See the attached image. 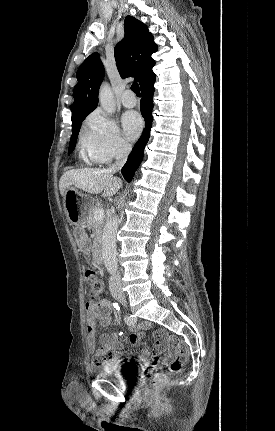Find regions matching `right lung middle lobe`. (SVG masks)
Listing matches in <instances>:
<instances>
[{
    "mask_svg": "<svg viewBox=\"0 0 275 431\" xmlns=\"http://www.w3.org/2000/svg\"><path fill=\"white\" fill-rule=\"evenodd\" d=\"M80 126H81V123H79V124H77V125H75V126L72 127V136H71V139H70L68 155L70 153H72L73 150H74V148H75V144H76V141H77V137H78V133H79V130H80Z\"/></svg>",
    "mask_w": 275,
    "mask_h": 431,
    "instance_id": "right-lung-middle-lobe-1",
    "label": "right lung middle lobe"
}]
</instances>
